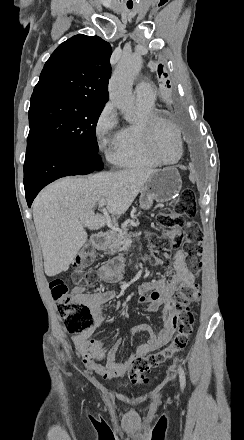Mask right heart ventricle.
Masks as SVG:
<instances>
[{
	"mask_svg": "<svg viewBox=\"0 0 244 440\" xmlns=\"http://www.w3.org/2000/svg\"><path fill=\"white\" fill-rule=\"evenodd\" d=\"M136 109L139 114V119L136 122L127 124L113 139L114 151L112 153V160L117 165L125 168L159 167L160 163L155 159L154 155L149 152V147L146 146L148 141L144 140V133L150 132V128L149 130L142 128L144 125H147V119L156 111L155 103L136 101ZM121 143H127L128 148L117 150L116 147Z\"/></svg>",
	"mask_w": 244,
	"mask_h": 440,
	"instance_id": "1",
	"label": "right heart ventricle"
}]
</instances>
